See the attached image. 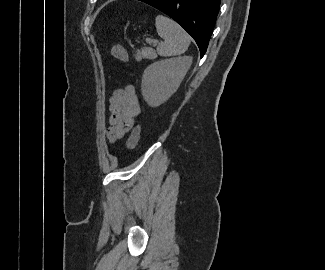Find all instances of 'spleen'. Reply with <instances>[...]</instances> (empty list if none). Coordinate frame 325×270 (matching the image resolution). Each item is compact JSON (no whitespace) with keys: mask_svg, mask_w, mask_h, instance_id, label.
Returning <instances> with one entry per match:
<instances>
[{"mask_svg":"<svg viewBox=\"0 0 325 270\" xmlns=\"http://www.w3.org/2000/svg\"><path fill=\"white\" fill-rule=\"evenodd\" d=\"M157 33L164 39L157 47L160 56L183 54L189 47L190 37L184 29L172 19L158 15L155 19Z\"/></svg>","mask_w":325,"mask_h":270,"instance_id":"3e777b00","label":"spleen"}]
</instances>
